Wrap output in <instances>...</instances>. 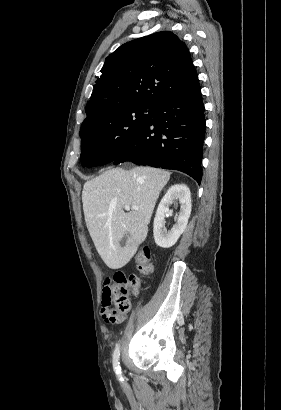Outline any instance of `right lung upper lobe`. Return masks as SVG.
<instances>
[{
    "instance_id": "obj_1",
    "label": "right lung upper lobe",
    "mask_w": 281,
    "mask_h": 410,
    "mask_svg": "<svg viewBox=\"0 0 281 410\" xmlns=\"http://www.w3.org/2000/svg\"><path fill=\"white\" fill-rule=\"evenodd\" d=\"M197 83L189 50L176 35L163 31L135 39L106 58L86 105L84 122L114 108L153 107Z\"/></svg>"
}]
</instances>
